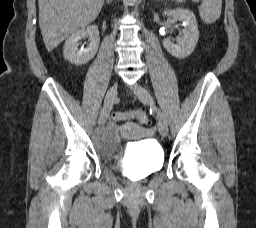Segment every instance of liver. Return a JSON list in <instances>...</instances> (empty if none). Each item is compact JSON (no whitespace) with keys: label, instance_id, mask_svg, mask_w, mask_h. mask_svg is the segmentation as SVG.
Returning <instances> with one entry per match:
<instances>
[{"label":"liver","instance_id":"6515ba94","mask_svg":"<svg viewBox=\"0 0 256 228\" xmlns=\"http://www.w3.org/2000/svg\"><path fill=\"white\" fill-rule=\"evenodd\" d=\"M104 0H38L39 26L48 52L93 22Z\"/></svg>","mask_w":256,"mask_h":228}]
</instances>
